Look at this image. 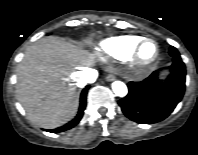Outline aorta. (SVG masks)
Instances as JSON below:
<instances>
[{
    "label": "aorta",
    "instance_id": "762f6f07",
    "mask_svg": "<svg viewBox=\"0 0 198 155\" xmlns=\"http://www.w3.org/2000/svg\"><path fill=\"white\" fill-rule=\"evenodd\" d=\"M112 90L115 93V95L118 97H125L128 93L127 86L125 85V83L121 81H115L112 84Z\"/></svg>",
    "mask_w": 198,
    "mask_h": 155
}]
</instances>
